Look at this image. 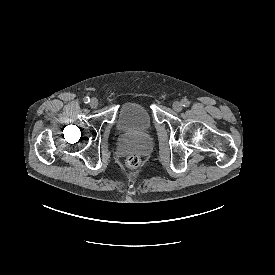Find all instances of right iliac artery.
<instances>
[{
    "instance_id": "82829eb1",
    "label": "right iliac artery",
    "mask_w": 275,
    "mask_h": 275,
    "mask_svg": "<svg viewBox=\"0 0 275 275\" xmlns=\"http://www.w3.org/2000/svg\"><path fill=\"white\" fill-rule=\"evenodd\" d=\"M83 101H84V103H89V102H90V98H89V97H85V98L83 99Z\"/></svg>"
}]
</instances>
